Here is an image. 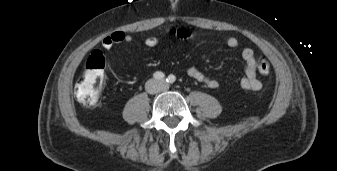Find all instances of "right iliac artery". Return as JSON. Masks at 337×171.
<instances>
[{"label": "right iliac artery", "mask_w": 337, "mask_h": 171, "mask_svg": "<svg viewBox=\"0 0 337 171\" xmlns=\"http://www.w3.org/2000/svg\"><path fill=\"white\" fill-rule=\"evenodd\" d=\"M153 77L156 79V80H163L165 78V75L163 72H160V71H157L153 74Z\"/></svg>", "instance_id": "obj_1"}]
</instances>
